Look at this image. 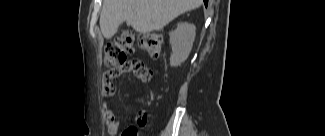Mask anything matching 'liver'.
Returning <instances> with one entry per match:
<instances>
[{
    "label": "liver",
    "instance_id": "1",
    "mask_svg": "<svg viewBox=\"0 0 325 136\" xmlns=\"http://www.w3.org/2000/svg\"><path fill=\"white\" fill-rule=\"evenodd\" d=\"M202 3V0H104L100 15L101 32L110 39L124 21L139 33L158 31Z\"/></svg>",
    "mask_w": 325,
    "mask_h": 136
}]
</instances>
